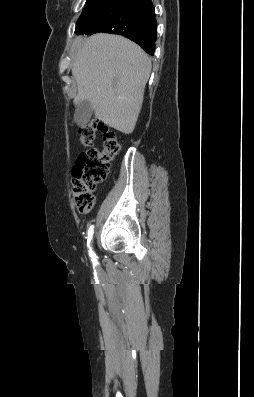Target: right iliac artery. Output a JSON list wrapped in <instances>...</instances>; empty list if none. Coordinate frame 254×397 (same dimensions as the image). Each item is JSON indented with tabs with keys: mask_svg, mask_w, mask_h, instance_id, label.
Wrapping results in <instances>:
<instances>
[{
	"mask_svg": "<svg viewBox=\"0 0 254 397\" xmlns=\"http://www.w3.org/2000/svg\"><path fill=\"white\" fill-rule=\"evenodd\" d=\"M93 233H94V226L92 225V226H90V228H89V230H88L87 245H88V248H89V256H90V257L92 258V260L94 261L96 257H95L94 252H93L92 249H91V246H90Z\"/></svg>",
	"mask_w": 254,
	"mask_h": 397,
	"instance_id": "right-iliac-artery-1",
	"label": "right iliac artery"
}]
</instances>
